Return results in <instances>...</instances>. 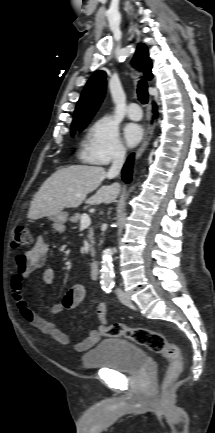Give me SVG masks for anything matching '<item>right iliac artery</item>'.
Instances as JSON below:
<instances>
[{
  "label": "right iliac artery",
  "instance_id": "82829eb1",
  "mask_svg": "<svg viewBox=\"0 0 215 433\" xmlns=\"http://www.w3.org/2000/svg\"><path fill=\"white\" fill-rule=\"evenodd\" d=\"M112 287H113V286H111V285H106V286L103 287V290H104L105 292H107V293H110L111 290H112Z\"/></svg>",
  "mask_w": 215,
  "mask_h": 433
}]
</instances>
